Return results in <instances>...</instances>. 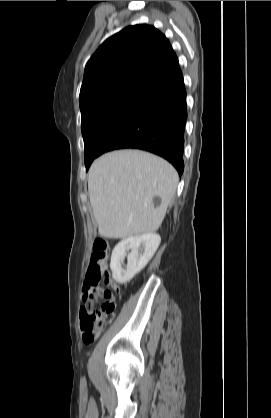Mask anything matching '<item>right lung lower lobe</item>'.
I'll return each mask as SVG.
<instances>
[{
    "mask_svg": "<svg viewBox=\"0 0 271 418\" xmlns=\"http://www.w3.org/2000/svg\"><path fill=\"white\" fill-rule=\"evenodd\" d=\"M186 119V90L182 78L111 135L100 155L115 149H142L168 160L181 176Z\"/></svg>",
    "mask_w": 271,
    "mask_h": 418,
    "instance_id": "right-lung-lower-lobe-1",
    "label": "right lung lower lobe"
}]
</instances>
